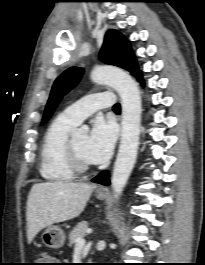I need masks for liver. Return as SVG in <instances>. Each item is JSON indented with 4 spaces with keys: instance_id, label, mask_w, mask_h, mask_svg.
Returning a JSON list of instances; mask_svg holds the SVG:
<instances>
[{
    "instance_id": "6515ba94",
    "label": "liver",
    "mask_w": 205,
    "mask_h": 265,
    "mask_svg": "<svg viewBox=\"0 0 205 265\" xmlns=\"http://www.w3.org/2000/svg\"><path fill=\"white\" fill-rule=\"evenodd\" d=\"M95 188V184L74 182L34 184L26 208L28 243L42 229L78 217Z\"/></svg>"
}]
</instances>
